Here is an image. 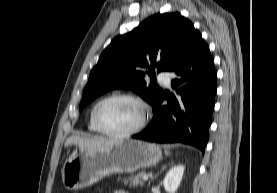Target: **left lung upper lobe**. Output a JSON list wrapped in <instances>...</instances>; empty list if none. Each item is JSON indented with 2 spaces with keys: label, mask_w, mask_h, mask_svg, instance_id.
I'll return each instance as SVG.
<instances>
[{
  "label": "left lung upper lobe",
  "mask_w": 277,
  "mask_h": 193,
  "mask_svg": "<svg viewBox=\"0 0 277 193\" xmlns=\"http://www.w3.org/2000/svg\"><path fill=\"white\" fill-rule=\"evenodd\" d=\"M199 34L179 13H165L155 14L131 32L115 37L90 73L80 109L114 88L133 89L154 106L162 90L152 81L146 84L144 69L150 66L158 72L171 71ZM148 74L155 76L154 72Z\"/></svg>",
  "instance_id": "obj_1"
}]
</instances>
